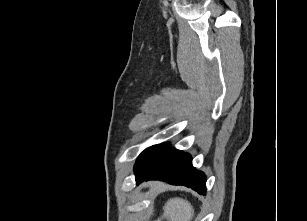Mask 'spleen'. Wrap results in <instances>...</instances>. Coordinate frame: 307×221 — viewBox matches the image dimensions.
<instances>
[{"mask_svg": "<svg viewBox=\"0 0 307 221\" xmlns=\"http://www.w3.org/2000/svg\"><path fill=\"white\" fill-rule=\"evenodd\" d=\"M164 216L169 221H191L194 217L193 206L185 199L170 198L163 206Z\"/></svg>", "mask_w": 307, "mask_h": 221, "instance_id": "spleen-1", "label": "spleen"}]
</instances>
